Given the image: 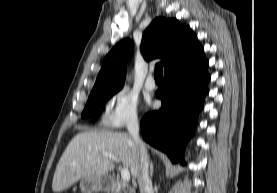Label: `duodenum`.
<instances>
[{
  "label": "duodenum",
  "instance_id": "410a0bca",
  "mask_svg": "<svg viewBox=\"0 0 277 193\" xmlns=\"http://www.w3.org/2000/svg\"><path fill=\"white\" fill-rule=\"evenodd\" d=\"M105 186H106V187H109V188H111V189L114 188V184H113L112 182H107V183L105 184Z\"/></svg>",
  "mask_w": 277,
  "mask_h": 193
}]
</instances>
